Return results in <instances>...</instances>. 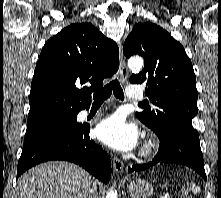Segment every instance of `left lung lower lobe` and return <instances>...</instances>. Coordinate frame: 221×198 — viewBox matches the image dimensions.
<instances>
[{"label":"left lung lower lobe","instance_id":"1","mask_svg":"<svg viewBox=\"0 0 221 198\" xmlns=\"http://www.w3.org/2000/svg\"><path fill=\"white\" fill-rule=\"evenodd\" d=\"M157 136L160 140V145L153 161L146 164L133 165L128 168V172L142 171L154 164L175 163L194 169L207 180L199 136L180 133H168Z\"/></svg>","mask_w":221,"mask_h":198}]
</instances>
